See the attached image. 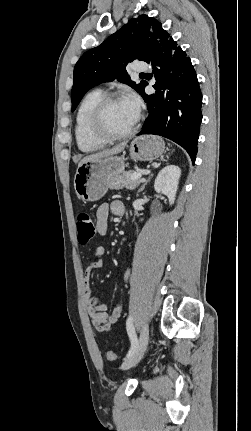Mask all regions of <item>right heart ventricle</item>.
<instances>
[{
  "instance_id": "1",
  "label": "right heart ventricle",
  "mask_w": 251,
  "mask_h": 431,
  "mask_svg": "<svg viewBox=\"0 0 251 431\" xmlns=\"http://www.w3.org/2000/svg\"><path fill=\"white\" fill-rule=\"evenodd\" d=\"M103 96L104 94L101 90H93L83 97L78 106L75 116L74 135L77 146L82 152L96 151L106 143L91 136L88 128L91 111Z\"/></svg>"
}]
</instances>
